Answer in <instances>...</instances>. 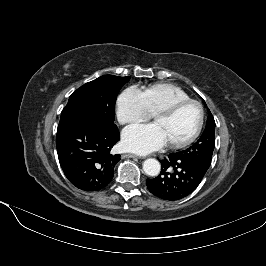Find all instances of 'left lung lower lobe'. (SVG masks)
Returning a JSON list of instances; mask_svg holds the SVG:
<instances>
[{"mask_svg": "<svg viewBox=\"0 0 266 266\" xmlns=\"http://www.w3.org/2000/svg\"><path fill=\"white\" fill-rule=\"evenodd\" d=\"M161 166V173L156 178L147 179L146 185L153 195L169 201L180 200L192 193L206 173L178 153H171L161 160Z\"/></svg>", "mask_w": 266, "mask_h": 266, "instance_id": "left-lung-lower-lobe-1", "label": "left lung lower lobe"}]
</instances>
